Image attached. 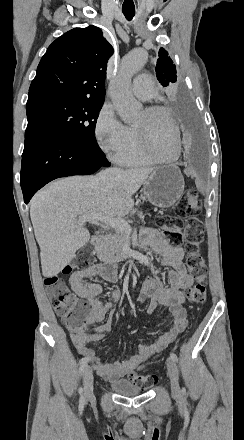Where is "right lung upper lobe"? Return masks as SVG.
<instances>
[{"label":"right lung upper lobe","instance_id":"cb5924a9","mask_svg":"<svg viewBox=\"0 0 244 440\" xmlns=\"http://www.w3.org/2000/svg\"><path fill=\"white\" fill-rule=\"evenodd\" d=\"M113 47L95 27L74 28L47 49L31 83L28 99H103L106 65Z\"/></svg>","mask_w":244,"mask_h":440}]
</instances>
